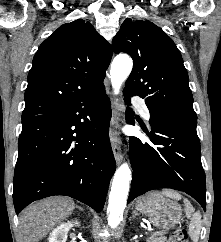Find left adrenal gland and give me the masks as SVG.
Listing matches in <instances>:
<instances>
[{
  "instance_id": "a2214340",
  "label": "left adrenal gland",
  "mask_w": 221,
  "mask_h": 242,
  "mask_svg": "<svg viewBox=\"0 0 221 242\" xmlns=\"http://www.w3.org/2000/svg\"><path fill=\"white\" fill-rule=\"evenodd\" d=\"M136 216H137V212L136 211H133L132 218L134 219Z\"/></svg>"
}]
</instances>
